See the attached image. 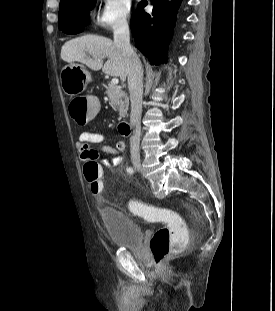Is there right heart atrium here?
Masks as SVG:
<instances>
[{"mask_svg":"<svg viewBox=\"0 0 275 311\" xmlns=\"http://www.w3.org/2000/svg\"><path fill=\"white\" fill-rule=\"evenodd\" d=\"M130 0H102V7L95 19L100 29L117 30L128 25Z\"/></svg>","mask_w":275,"mask_h":311,"instance_id":"obj_1","label":"right heart atrium"}]
</instances>
